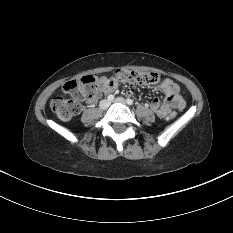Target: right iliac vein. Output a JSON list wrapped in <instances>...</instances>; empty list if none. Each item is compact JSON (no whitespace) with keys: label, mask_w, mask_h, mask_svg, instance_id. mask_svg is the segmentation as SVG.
<instances>
[{"label":"right iliac vein","mask_w":233,"mask_h":233,"mask_svg":"<svg viewBox=\"0 0 233 233\" xmlns=\"http://www.w3.org/2000/svg\"><path fill=\"white\" fill-rule=\"evenodd\" d=\"M110 105V102L108 100H103L100 102V108L105 110L109 107Z\"/></svg>","instance_id":"right-iliac-vein-1"}]
</instances>
